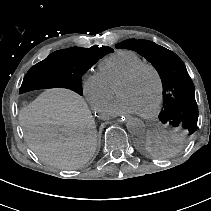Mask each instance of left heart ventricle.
<instances>
[{
	"instance_id": "b2bd125f",
	"label": "left heart ventricle",
	"mask_w": 211,
	"mask_h": 211,
	"mask_svg": "<svg viewBox=\"0 0 211 211\" xmlns=\"http://www.w3.org/2000/svg\"><path fill=\"white\" fill-rule=\"evenodd\" d=\"M116 93L129 100L138 113H144L156 102L158 83L151 70L143 69L131 81L119 84Z\"/></svg>"
}]
</instances>
